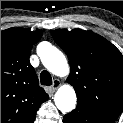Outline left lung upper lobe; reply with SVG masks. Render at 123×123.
I'll list each match as a JSON object with an SVG mask.
<instances>
[{"instance_id": "5c2ea615", "label": "left lung upper lobe", "mask_w": 123, "mask_h": 123, "mask_svg": "<svg viewBox=\"0 0 123 123\" xmlns=\"http://www.w3.org/2000/svg\"><path fill=\"white\" fill-rule=\"evenodd\" d=\"M55 42L68 56L67 79L78 103L115 115L123 109V56L109 41L92 31L51 30Z\"/></svg>"}]
</instances>
